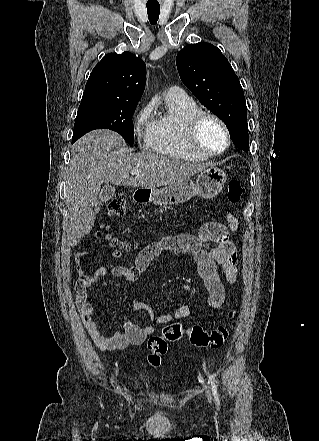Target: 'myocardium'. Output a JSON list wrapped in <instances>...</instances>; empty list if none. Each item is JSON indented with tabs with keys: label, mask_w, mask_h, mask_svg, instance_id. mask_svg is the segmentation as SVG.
Instances as JSON below:
<instances>
[{
	"label": "myocardium",
	"mask_w": 319,
	"mask_h": 441,
	"mask_svg": "<svg viewBox=\"0 0 319 441\" xmlns=\"http://www.w3.org/2000/svg\"><path fill=\"white\" fill-rule=\"evenodd\" d=\"M207 120H212L216 122L225 135V145L221 150L218 151H210L205 148H203L198 140V133L203 125V123ZM185 141L187 146L195 153L202 155L204 157H216L224 152L229 148L231 144V135L229 132V129L226 125V123L217 115L207 112L204 110H200L196 113H194L187 121L185 126Z\"/></svg>",
	"instance_id": "obj_1"
}]
</instances>
